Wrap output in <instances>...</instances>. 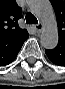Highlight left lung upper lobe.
Here are the masks:
<instances>
[{"label": "left lung upper lobe", "mask_w": 65, "mask_h": 89, "mask_svg": "<svg viewBox=\"0 0 65 89\" xmlns=\"http://www.w3.org/2000/svg\"><path fill=\"white\" fill-rule=\"evenodd\" d=\"M54 7L59 38L65 39V0H51Z\"/></svg>", "instance_id": "left-lung-upper-lobe-1"}]
</instances>
